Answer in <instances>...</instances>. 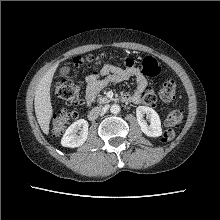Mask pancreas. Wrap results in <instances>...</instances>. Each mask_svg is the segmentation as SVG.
Returning a JSON list of instances; mask_svg holds the SVG:
<instances>
[{
    "mask_svg": "<svg viewBox=\"0 0 220 220\" xmlns=\"http://www.w3.org/2000/svg\"><path fill=\"white\" fill-rule=\"evenodd\" d=\"M110 100L107 97H100L99 102L102 104L108 103Z\"/></svg>",
    "mask_w": 220,
    "mask_h": 220,
    "instance_id": "cf45deb5",
    "label": "pancreas"
}]
</instances>
